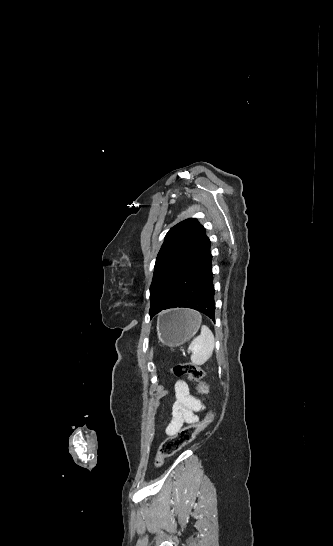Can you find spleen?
Wrapping results in <instances>:
<instances>
[{"instance_id": "3e777b00", "label": "spleen", "mask_w": 333, "mask_h": 546, "mask_svg": "<svg viewBox=\"0 0 333 546\" xmlns=\"http://www.w3.org/2000/svg\"><path fill=\"white\" fill-rule=\"evenodd\" d=\"M199 317H201L200 313ZM215 347V338L212 331L207 326H202L201 333L197 336L188 347V351L192 352L191 361L194 365L200 366L207 362Z\"/></svg>"}]
</instances>
